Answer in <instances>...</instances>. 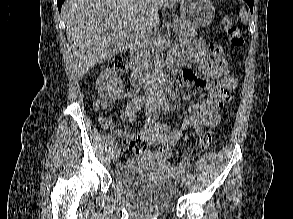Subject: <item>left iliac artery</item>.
<instances>
[{"label": "left iliac artery", "instance_id": "1", "mask_svg": "<svg viewBox=\"0 0 293 219\" xmlns=\"http://www.w3.org/2000/svg\"><path fill=\"white\" fill-rule=\"evenodd\" d=\"M168 92H169V95L172 97V99L176 101V96H175L174 91L169 89ZM182 164H183L184 168H187L188 171H190V162H189V160L187 158L183 159Z\"/></svg>", "mask_w": 293, "mask_h": 219}]
</instances>
